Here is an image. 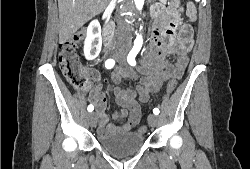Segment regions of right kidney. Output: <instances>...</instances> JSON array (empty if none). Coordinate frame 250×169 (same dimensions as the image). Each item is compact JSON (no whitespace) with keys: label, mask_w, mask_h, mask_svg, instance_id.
I'll return each instance as SVG.
<instances>
[{"label":"right kidney","mask_w":250,"mask_h":169,"mask_svg":"<svg viewBox=\"0 0 250 169\" xmlns=\"http://www.w3.org/2000/svg\"><path fill=\"white\" fill-rule=\"evenodd\" d=\"M102 46L101 26L98 20H91L87 26V34L84 42V56L87 60H93L98 56Z\"/></svg>","instance_id":"right-kidney-1"}]
</instances>
